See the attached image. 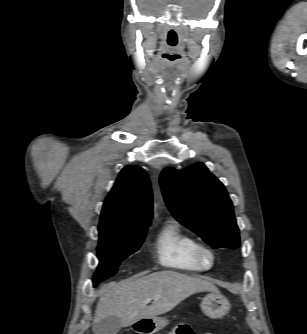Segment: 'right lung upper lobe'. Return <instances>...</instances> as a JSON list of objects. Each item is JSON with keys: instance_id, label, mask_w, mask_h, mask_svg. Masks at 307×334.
I'll list each match as a JSON object with an SVG mask.
<instances>
[{"instance_id": "cb5924a9", "label": "right lung upper lobe", "mask_w": 307, "mask_h": 334, "mask_svg": "<svg viewBox=\"0 0 307 334\" xmlns=\"http://www.w3.org/2000/svg\"><path fill=\"white\" fill-rule=\"evenodd\" d=\"M152 214V191L146 171L127 166L104 201L98 230L101 233L148 227Z\"/></svg>"}]
</instances>
